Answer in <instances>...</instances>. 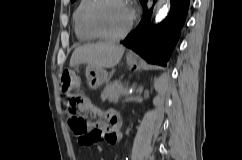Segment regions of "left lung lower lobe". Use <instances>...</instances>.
<instances>
[{
    "instance_id": "obj_1",
    "label": "left lung lower lobe",
    "mask_w": 242,
    "mask_h": 160,
    "mask_svg": "<svg viewBox=\"0 0 242 160\" xmlns=\"http://www.w3.org/2000/svg\"><path fill=\"white\" fill-rule=\"evenodd\" d=\"M145 17L136 29L121 41L149 63L166 65L185 23L190 0H171V9L158 26L150 24L152 9H147V0L141 2Z\"/></svg>"
}]
</instances>
